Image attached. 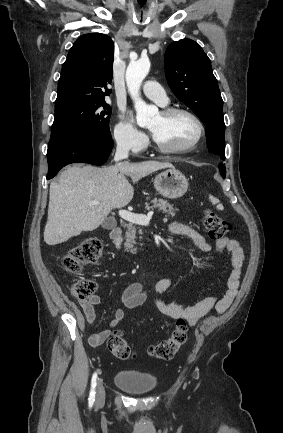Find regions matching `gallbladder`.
Here are the masks:
<instances>
[{
  "mask_svg": "<svg viewBox=\"0 0 283 433\" xmlns=\"http://www.w3.org/2000/svg\"><path fill=\"white\" fill-rule=\"evenodd\" d=\"M102 227L103 229H108V231H111V229H115V227H117V223L114 221V219H106V221H103Z\"/></svg>",
  "mask_w": 283,
  "mask_h": 433,
  "instance_id": "1",
  "label": "gallbladder"
}]
</instances>
